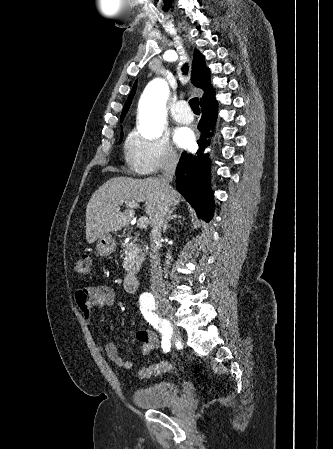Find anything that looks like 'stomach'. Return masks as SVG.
I'll return each instance as SVG.
<instances>
[{
  "mask_svg": "<svg viewBox=\"0 0 333 449\" xmlns=\"http://www.w3.org/2000/svg\"><path fill=\"white\" fill-rule=\"evenodd\" d=\"M116 243L110 234H106L97 240L96 250L101 256H108L114 252Z\"/></svg>",
  "mask_w": 333,
  "mask_h": 449,
  "instance_id": "obj_1",
  "label": "stomach"
}]
</instances>
